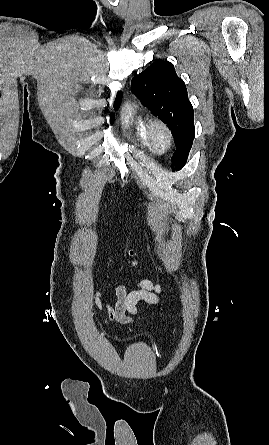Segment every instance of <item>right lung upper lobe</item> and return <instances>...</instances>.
Here are the masks:
<instances>
[{
  "mask_svg": "<svg viewBox=\"0 0 269 445\" xmlns=\"http://www.w3.org/2000/svg\"><path fill=\"white\" fill-rule=\"evenodd\" d=\"M121 98H122V94H121V92H118L117 97H116L115 102H114V105L116 103H118L121 100Z\"/></svg>",
  "mask_w": 269,
  "mask_h": 445,
  "instance_id": "right-lung-upper-lobe-1",
  "label": "right lung upper lobe"
}]
</instances>
